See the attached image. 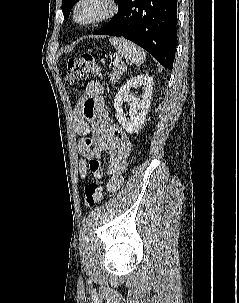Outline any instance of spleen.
Instances as JSON below:
<instances>
[{"label":"spleen","instance_id":"obj_1","mask_svg":"<svg viewBox=\"0 0 239 303\" xmlns=\"http://www.w3.org/2000/svg\"><path fill=\"white\" fill-rule=\"evenodd\" d=\"M109 41L116 48L118 54L124 57L130 65H141L146 59L144 49L127 39L112 37Z\"/></svg>","mask_w":239,"mask_h":303}]
</instances>
